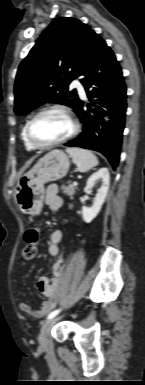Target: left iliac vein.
Masks as SVG:
<instances>
[{
  "label": "left iliac vein",
  "instance_id": "left-iliac-vein-1",
  "mask_svg": "<svg viewBox=\"0 0 145 385\" xmlns=\"http://www.w3.org/2000/svg\"><path fill=\"white\" fill-rule=\"evenodd\" d=\"M61 317H53L48 320H46L40 330V335L38 338L39 344L41 347H46L48 343V334L51 330V328L56 324V322L60 319Z\"/></svg>",
  "mask_w": 145,
  "mask_h": 385
}]
</instances>
